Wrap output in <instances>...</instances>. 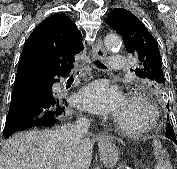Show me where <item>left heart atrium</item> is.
<instances>
[{
  "instance_id": "obj_1",
  "label": "left heart atrium",
  "mask_w": 177,
  "mask_h": 169,
  "mask_svg": "<svg viewBox=\"0 0 177 169\" xmlns=\"http://www.w3.org/2000/svg\"><path fill=\"white\" fill-rule=\"evenodd\" d=\"M124 102L121 90L104 80L92 82L77 95L79 107L98 115H116Z\"/></svg>"
}]
</instances>
